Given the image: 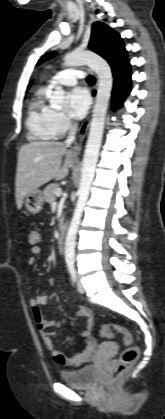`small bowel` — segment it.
Returning a JSON list of instances; mask_svg holds the SVG:
<instances>
[{
	"mask_svg": "<svg viewBox=\"0 0 165 419\" xmlns=\"http://www.w3.org/2000/svg\"><path fill=\"white\" fill-rule=\"evenodd\" d=\"M32 233H35L38 236V242L32 243L30 241L32 243L30 249L32 257L28 259L27 264L29 266H33L36 263V257L42 253V248L38 244L40 241L39 234L36 231H30L29 240L30 235ZM29 303L33 311V317L36 326L41 333L44 345L48 350L51 351L55 362L67 367H78L82 364L87 363L92 358V355L96 350L97 343L92 336L93 316L90 309L82 306L77 310V315L86 320L85 328L81 333V336L84 340L83 347L74 355H66L55 347V344L52 339V334H50L47 331L49 327L59 326L58 322L47 320L40 309L42 305H45L47 303V297L45 295H39L37 297L31 298Z\"/></svg>",
	"mask_w": 165,
	"mask_h": 419,
	"instance_id": "1",
	"label": "small bowel"
}]
</instances>
